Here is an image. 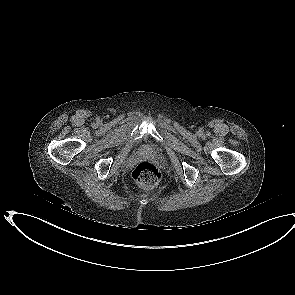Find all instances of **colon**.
Listing matches in <instances>:
<instances>
[{
    "instance_id": "5ec220e1",
    "label": "colon",
    "mask_w": 295,
    "mask_h": 295,
    "mask_svg": "<svg viewBox=\"0 0 295 295\" xmlns=\"http://www.w3.org/2000/svg\"><path fill=\"white\" fill-rule=\"evenodd\" d=\"M136 184L143 189L156 187L161 180V172L156 165L143 161L139 163L132 173Z\"/></svg>"
}]
</instances>
